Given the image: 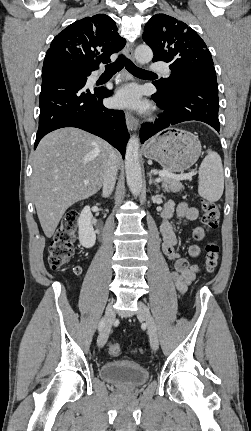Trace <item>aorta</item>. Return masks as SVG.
Instances as JSON below:
<instances>
[{
	"instance_id": "1",
	"label": "aorta",
	"mask_w": 251,
	"mask_h": 431,
	"mask_svg": "<svg viewBox=\"0 0 251 431\" xmlns=\"http://www.w3.org/2000/svg\"><path fill=\"white\" fill-rule=\"evenodd\" d=\"M135 58L141 64L148 63L153 58V52L146 45H139L135 50ZM125 171L128 187L134 196L140 195L142 189V174L139 160V139L136 135L130 137L125 154Z\"/></svg>"
}]
</instances>
